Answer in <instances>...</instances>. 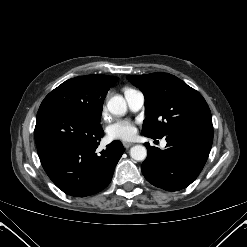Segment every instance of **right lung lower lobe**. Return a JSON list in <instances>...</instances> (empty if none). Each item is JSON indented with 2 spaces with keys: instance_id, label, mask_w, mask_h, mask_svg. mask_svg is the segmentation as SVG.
Wrapping results in <instances>:
<instances>
[{
  "instance_id": "98d812e1",
  "label": "right lung lower lobe",
  "mask_w": 247,
  "mask_h": 247,
  "mask_svg": "<svg viewBox=\"0 0 247 247\" xmlns=\"http://www.w3.org/2000/svg\"><path fill=\"white\" fill-rule=\"evenodd\" d=\"M104 131L85 116L59 106L40 107L35 142L43 169L67 195L85 197L108 186L124 152L119 141L95 151Z\"/></svg>"
}]
</instances>
